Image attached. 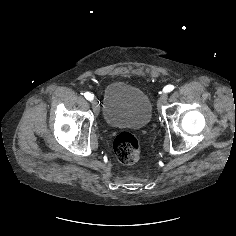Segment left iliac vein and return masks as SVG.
Here are the masks:
<instances>
[{
    "label": "left iliac vein",
    "mask_w": 236,
    "mask_h": 236,
    "mask_svg": "<svg viewBox=\"0 0 236 236\" xmlns=\"http://www.w3.org/2000/svg\"><path fill=\"white\" fill-rule=\"evenodd\" d=\"M167 99H168V95L162 94L158 99V107L160 108L162 105L166 104Z\"/></svg>",
    "instance_id": "obj_1"
}]
</instances>
